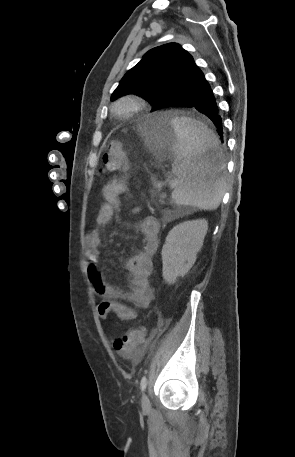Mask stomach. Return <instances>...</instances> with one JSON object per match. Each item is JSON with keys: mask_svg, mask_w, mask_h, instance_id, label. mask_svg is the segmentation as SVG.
<instances>
[{"mask_svg": "<svg viewBox=\"0 0 295 457\" xmlns=\"http://www.w3.org/2000/svg\"><path fill=\"white\" fill-rule=\"evenodd\" d=\"M140 131L146 143L152 148L164 145L171 150L178 142L172 119L162 115L147 116L140 126Z\"/></svg>", "mask_w": 295, "mask_h": 457, "instance_id": "obj_1", "label": "stomach"}]
</instances>
